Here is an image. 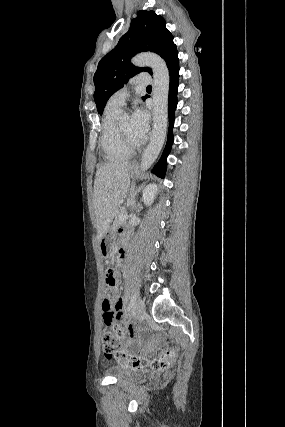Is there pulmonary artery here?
I'll return each mask as SVG.
<instances>
[{
    "label": "pulmonary artery",
    "instance_id": "pulmonary-artery-1",
    "mask_svg": "<svg viewBox=\"0 0 285 427\" xmlns=\"http://www.w3.org/2000/svg\"><path fill=\"white\" fill-rule=\"evenodd\" d=\"M133 82H135L138 85L145 86V85H148L151 83V77L147 73L146 74H140L133 79ZM128 96H129V90H128V88L124 87V88L116 91L115 93H113L110 96L108 103L122 108L124 106Z\"/></svg>",
    "mask_w": 285,
    "mask_h": 427
}]
</instances>
